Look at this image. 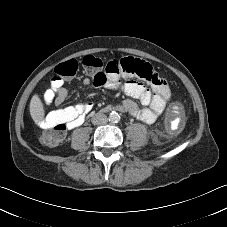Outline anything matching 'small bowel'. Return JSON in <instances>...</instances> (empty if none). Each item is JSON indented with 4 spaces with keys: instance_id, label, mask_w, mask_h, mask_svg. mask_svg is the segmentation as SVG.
<instances>
[{
    "instance_id": "1",
    "label": "small bowel",
    "mask_w": 227,
    "mask_h": 227,
    "mask_svg": "<svg viewBox=\"0 0 227 227\" xmlns=\"http://www.w3.org/2000/svg\"><path fill=\"white\" fill-rule=\"evenodd\" d=\"M104 74L108 77V80L103 84L111 88L119 84L120 77L109 79L108 72L104 71ZM122 75L123 77L129 76L125 72H122ZM143 80L150 87L136 81H127L121 86V90L125 95L138 100L144 107L140 108L134 100L127 99L121 103L119 109L145 123H153L168 105L171 99V92L167 80L161 78L155 71H153L152 78ZM91 82L90 78L83 79V85L85 86L90 85ZM53 83L51 88L44 93L43 102L46 106L53 105L57 109L41 119L39 125L44 128H50L56 123L62 122L67 129L79 126L83 122V115L92 110L93 102L88 101L75 106L61 107L66 100L67 90L61 86L55 87ZM111 108V105H107L104 110L109 111ZM64 115H68V117H63Z\"/></svg>"
}]
</instances>
